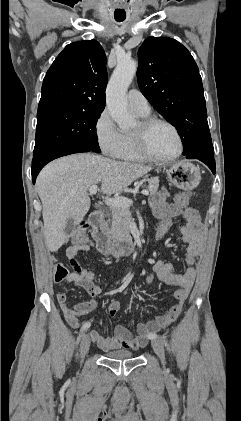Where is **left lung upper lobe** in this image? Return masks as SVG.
<instances>
[{"instance_id":"left-lung-upper-lobe-1","label":"left lung upper lobe","mask_w":241,"mask_h":421,"mask_svg":"<svg viewBox=\"0 0 241 421\" xmlns=\"http://www.w3.org/2000/svg\"><path fill=\"white\" fill-rule=\"evenodd\" d=\"M138 58L139 88L178 130L183 155H213L202 80L190 52L175 39L149 37L139 48Z\"/></svg>"}]
</instances>
